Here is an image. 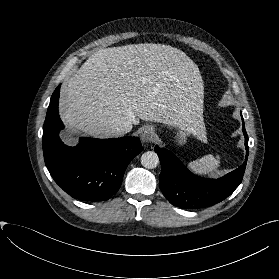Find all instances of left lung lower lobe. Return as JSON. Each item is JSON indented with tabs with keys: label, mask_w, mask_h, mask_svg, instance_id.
Returning a JSON list of instances; mask_svg holds the SVG:
<instances>
[{
	"label": "left lung lower lobe",
	"mask_w": 279,
	"mask_h": 279,
	"mask_svg": "<svg viewBox=\"0 0 279 279\" xmlns=\"http://www.w3.org/2000/svg\"><path fill=\"white\" fill-rule=\"evenodd\" d=\"M246 158L236 170L219 179H206L191 173L170 151L155 147L161 163L160 189L174 206L199 209L213 206L228 197L241 183L248 158V136L242 118Z\"/></svg>",
	"instance_id": "obj_1"
}]
</instances>
